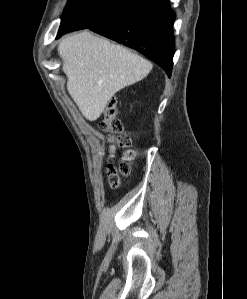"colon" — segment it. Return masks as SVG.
I'll list each match as a JSON object with an SVG mask.
<instances>
[{
  "label": "colon",
  "instance_id": "1",
  "mask_svg": "<svg viewBox=\"0 0 247 299\" xmlns=\"http://www.w3.org/2000/svg\"><path fill=\"white\" fill-rule=\"evenodd\" d=\"M116 115V101L111 99L104 108L103 120L99 123V129L107 134L108 140L112 143L111 157L115 155L117 149L123 150L122 160L118 165L113 164L112 160L109 161V181L113 187H118L121 178L130 173V163L135 158V152L131 149V138L124 133L122 123Z\"/></svg>",
  "mask_w": 247,
  "mask_h": 299
}]
</instances>
